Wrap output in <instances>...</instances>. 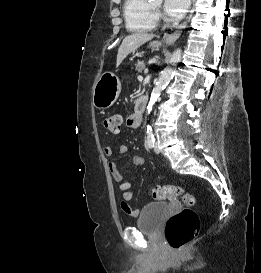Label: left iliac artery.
I'll use <instances>...</instances> for the list:
<instances>
[{
    "label": "left iliac artery",
    "instance_id": "left-iliac-artery-1",
    "mask_svg": "<svg viewBox=\"0 0 261 273\" xmlns=\"http://www.w3.org/2000/svg\"><path fill=\"white\" fill-rule=\"evenodd\" d=\"M154 135L151 128H148L147 130V139L146 143L149 148H152L154 146Z\"/></svg>",
    "mask_w": 261,
    "mask_h": 273
}]
</instances>
